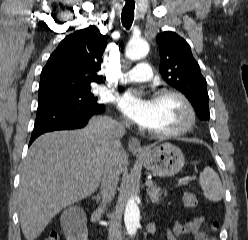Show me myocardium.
<instances>
[{
  "instance_id": "f54148a6",
  "label": "myocardium",
  "mask_w": 248,
  "mask_h": 240,
  "mask_svg": "<svg viewBox=\"0 0 248 240\" xmlns=\"http://www.w3.org/2000/svg\"><path fill=\"white\" fill-rule=\"evenodd\" d=\"M164 96H173L183 104L186 112V119L183 124L176 129L169 131L150 130V133L160 138H173L187 133L192 129L196 122V112L191 101L183 92L174 88H163L157 91L156 98Z\"/></svg>"
}]
</instances>
